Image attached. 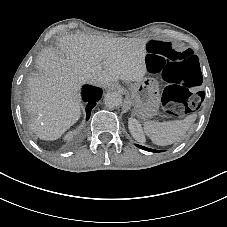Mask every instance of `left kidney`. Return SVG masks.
I'll list each match as a JSON object with an SVG mask.
<instances>
[{
  "instance_id": "1",
  "label": "left kidney",
  "mask_w": 227,
  "mask_h": 227,
  "mask_svg": "<svg viewBox=\"0 0 227 227\" xmlns=\"http://www.w3.org/2000/svg\"><path fill=\"white\" fill-rule=\"evenodd\" d=\"M129 130L132 136L138 141L143 143L144 142V135L141 129L140 124L135 119L129 120Z\"/></svg>"
}]
</instances>
